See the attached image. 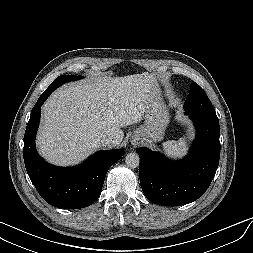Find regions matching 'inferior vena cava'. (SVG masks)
Listing matches in <instances>:
<instances>
[{
    "label": "inferior vena cava",
    "instance_id": "1",
    "mask_svg": "<svg viewBox=\"0 0 253 253\" xmlns=\"http://www.w3.org/2000/svg\"><path fill=\"white\" fill-rule=\"evenodd\" d=\"M101 142L105 145L107 144H111V143H114L115 142V139L112 135L110 134H103L101 136Z\"/></svg>",
    "mask_w": 253,
    "mask_h": 253
}]
</instances>
